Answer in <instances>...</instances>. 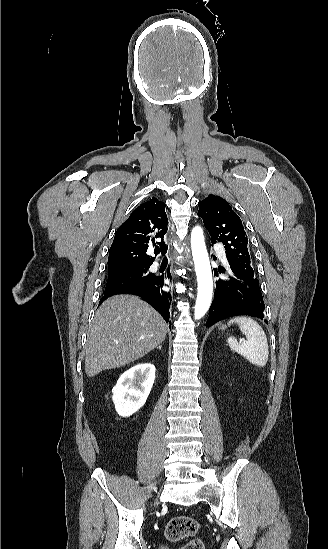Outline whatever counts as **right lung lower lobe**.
<instances>
[{
  "instance_id": "98d812e1",
  "label": "right lung lower lobe",
  "mask_w": 328,
  "mask_h": 549,
  "mask_svg": "<svg viewBox=\"0 0 328 549\" xmlns=\"http://www.w3.org/2000/svg\"><path fill=\"white\" fill-rule=\"evenodd\" d=\"M165 280H171L170 271L163 274H154L144 283H132L105 292L101 298V304L106 298L115 294L130 293L139 295L151 304L165 319L169 321V307L171 305V294L164 290ZM171 328V325L169 326Z\"/></svg>"
}]
</instances>
